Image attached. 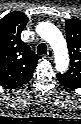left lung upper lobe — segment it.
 <instances>
[{
    "instance_id": "obj_1",
    "label": "left lung upper lobe",
    "mask_w": 81,
    "mask_h": 124,
    "mask_svg": "<svg viewBox=\"0 0 81 124\" xmlns=\"http://www.w3.org/2000/svg\"><path fill=\"white\" fill-rule=\"evenodd\" d=\"M66 39L69 46L70 68L60 74L64 80L69 81L75 88L81 87V21L68 19L65 24Z\"/></svg>"
}]
</instances>
